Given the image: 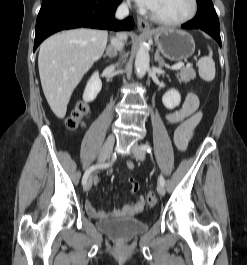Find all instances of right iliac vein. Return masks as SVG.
<instances>
[{"instance_id":"obj_1","label":"right iliac vein","mask_w":247,"mask_h":265,"mask_svg":"<svg viewBox=\"0 0 247 265\" xmlns=\"http://www.w3.org/2000/svg\"><path fill=\"white\" fill-rule=\"evenodd\" d=\"M114 141H115V137L113 134H110L102 149H101V152L99 154V157H98V162L99 163H103L106 159H108L110 157V154L112 152V148H113V145H114ZM92 187V177H90L88 179V181L86 182V184L84 185V190L85 191H89Z\"/></svg>"}]
</instances>
